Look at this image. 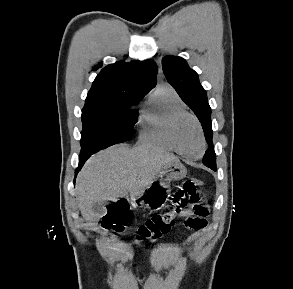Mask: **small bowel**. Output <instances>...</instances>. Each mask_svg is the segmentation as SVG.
I'll return each instance as SVG.
<instances>
[{
    "mask_svg": "<svg viewBox=\"0 0 293 289\" xmlns=\"http://www.w3.org/2000/svg\"><path fill=\"white\" fill-rule=\"evenodd\" d=\"M180 218H183L185 220L189 219V218H196V216L194 215V213L191 210H184L183 212H181V214H179ZM198 223H199V228L196 230H202L206 227L207 225V221L206 219H201L198 218ZM156 284L152 281H150L147 286L146 289H156Z\"/></svg>",
    "mask_w": 293,
    "mask_h": 289,
    "instance_id": "obj_1",
    "label": "small bowel"
}]
</instances>
